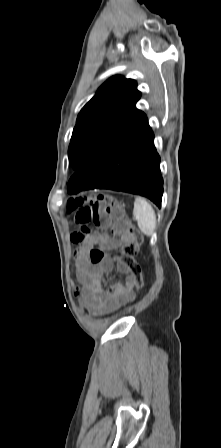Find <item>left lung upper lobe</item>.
Segmentation results:
<instances>
[{
  "label": "left lung upper lobe",
  "mask_w": 221,
  "mask_h": 448,
  "mask_svg": "<svg viewBox=\"0 0 221 448\" xmlns=\"http://www.w3.org/2000/svg\"><path fill=\"white\" fill-rule=\"evenodd\" d=\"M140 95L136 81L122 76L110 78L99 88L82 108L72 133L68 158L75 170L101 163L147 122L135 107Z\"/></svg>",
  "instance_id": "5c2ea615"
}]
</instances>
